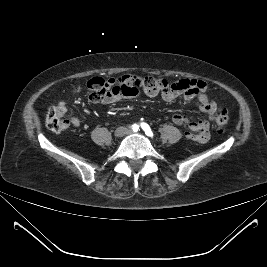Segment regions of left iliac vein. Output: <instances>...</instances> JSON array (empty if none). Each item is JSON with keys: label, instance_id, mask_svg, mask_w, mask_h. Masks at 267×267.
Listing matches in <instances>:
<instances>
[{"label": "left iliac vein", "instance_id": "obj_1", "mask_svg": "<svg viewBox=\"0 0 267 267\" xmlns=\"http://www.w3.org/2000/svg\"><path fill=\"white\" fill-rule=\"evenodd\" d=\"M126 134H131V131L127 130V131H126Z\"/></svg>", "mask_w": 267, "mask_h": 267}]
</instances>
